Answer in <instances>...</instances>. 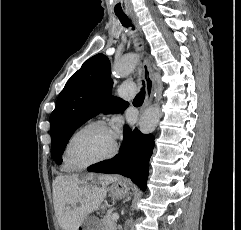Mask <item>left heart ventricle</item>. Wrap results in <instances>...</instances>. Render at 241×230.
<instances>
[{
	"mask_svg": "<svg viewBox=\"0 0 241 230\" xmlns=\"http://www.w3.org/2000/svg\"><path fill=\"white\" fill-rule=\"evenodd\" d=\"M114 143L108 128L87 129L73 141L69 153L70 160L79 165L101 158L111 152Z\"/></svg>",
	"mask_w": 241,
	"mask_h": 230,
	"instance_id": "left-heart-ventricle-1",
	"label": "left heart ventricle"
}]
</instances>
